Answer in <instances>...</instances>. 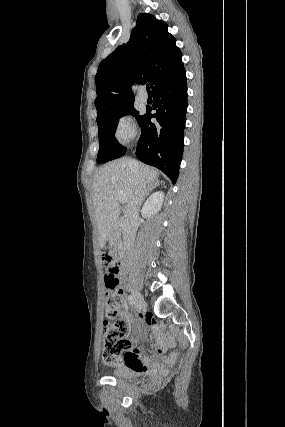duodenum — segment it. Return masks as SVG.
Segmentation results:
<instances>
[{"label":"duodenum","mask_w":285,"mask_h":427,"mask_svg":"<svg viewBox=\"0 0 285 427\" xmlns=\"http://www.w3.org/2000/svg\"><path fill=\"white\" fill-rule=\"evenodd\" d=\"M130 228V221L125 218H117L111 225V229H123L128 230Z\"/></svg>","instance_id":"410a0bca"}]
</instances>
